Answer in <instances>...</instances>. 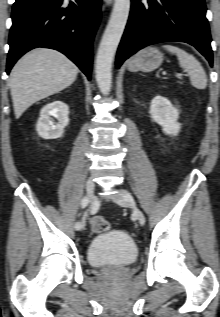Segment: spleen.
I'll return each instance as SVG.
<instances>
[{"label":"spleen","mask_w":220,"mask_h":317,"mask_svg":"<svg viewBox=\"0 0 220 317\" xmlns=\"http://www.w3.org/2000/svg\"><path fill=\"white\" fill-rule=\"evenodd\" d=\"M164 49L177 56L180 67L190 76L191 84L197 89H205L207 76L201 63L191 54L173 45H164Z\"/></svg>","instance_id":"1"}]
</instances>
